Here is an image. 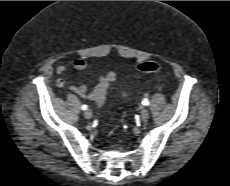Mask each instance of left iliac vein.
I'll return each mask as SVG.
<instances>
[{"mask_svg":"<svg viewBox=\"0 0 230 186\" xmlns=\"http://www.w3.org/2000/svg\"><path fill=\"white\" fill-rule=\"evenodd\" d=\"M140 116H141V120L142 121H146L148 119V117H149V111H148V109L147 108H143L141 110Z\"/></svg>","mask_w":230,"mask_h":186,"instance_id":"1","label":"left iliac vein"}]
</instances>
